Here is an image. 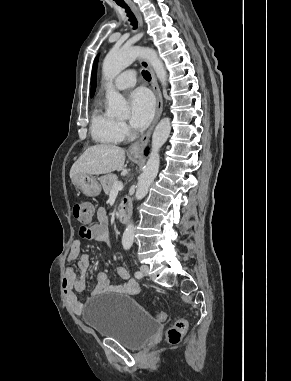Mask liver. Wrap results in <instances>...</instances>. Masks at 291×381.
Segmentation results:
<instances>
[{
    "instance_id": "obj_1",
    "label": "liver",
    "mask_w": 291,
    "mask_h": 381,
    "mask_svg": "<svg viewBox=\"0 0 291 381\" xmlns=\"http://www.w3.org/2000/svg\"><path fill=\"white\" fill-rule=\"evenodd\" d=\"M125 150L116 145L99 144L89 147L72 165L70 178L83 173L100 175L116 171L123 167Z\"/></svg>"
}]
</instances>
